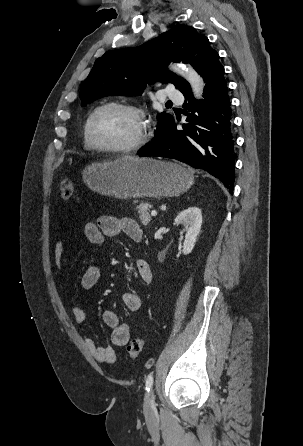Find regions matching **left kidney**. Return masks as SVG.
Instances as JSON below:
<instances>
[{
    "mask_svg": "<svg viewBox=\"0 0 303 446\" xmlns=\"http://www.w3.org/2000/svg\"><path fill=\"white\" fill-rule=\"evenodd\" d=\"M175 224H182L186 228L183 254L188 255L192 252L201 230L202 212L198 207H189L178 214Z\"/></svg>",
    "mask_w": 303,
    "mask_h": 446,
    "instance_id": "left-kidney-1",
    "label": "left kidney"
}]
</instances>
